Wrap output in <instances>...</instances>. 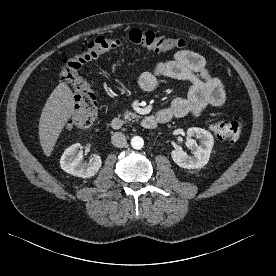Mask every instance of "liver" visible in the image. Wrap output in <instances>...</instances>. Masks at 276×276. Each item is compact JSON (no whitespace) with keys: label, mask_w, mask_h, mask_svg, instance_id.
Segmentation results:
<instances>
[{"label":"liver","mask_w":276,"mask_h":276,"mask_svg":"<svg viewBox=\"0 0 276 276\" xmlns=\"http://www.w3.org/2000/svg\"><path fill=\"white\" fill-rule=\"evenodd\" d=\"M73 93L67 83L56 86L46 101L39 120V139L44 154L49 157L66 122L74 112Z\"/></svg>","instance_id":"1"}]
</instances>
